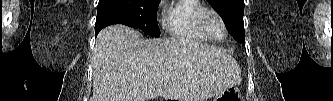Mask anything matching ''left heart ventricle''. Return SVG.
I'll return each instance as SVG.
<instances>
[{
	"instance_id": "b2bd125f",
	"label": "left heart ventricle",
	"mask_w": 333,
	"mask_h": 101,
	"mask_svg": "<svg viewBox=\"0 0 333 101\" xmlns=\"http://www.w3.org/2000/svg\"><path fill=\"white\" fill-rule=\"evenodd\" d=\"M204 23L211 34V36L215 38H220L223 35V28L220 23V21L217 19V17L213 14H206L204 18Z\"/></svg>"
}]
</instances>
